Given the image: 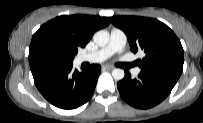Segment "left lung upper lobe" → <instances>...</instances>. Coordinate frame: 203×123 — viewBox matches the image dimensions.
Here are the masks:
<instances>
[{"instance_id": "1", "label": "left lung upper lobe", "mask_w": 203, "mask_h": 123, "mask_svg": "<svg viewBox=\"0 0 203 123\" xmlns=\"http://www.w3.org/2000/svg\"><path fill=\"white\" fill-rule=\"evenodd\" d=\"M114 26L127 35L131 50H142L145 57L137 60L142 71H162L181 75L184 52L180 40L164 23L139 16H113Z\"/></svg>"}]
</instances>
